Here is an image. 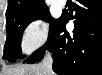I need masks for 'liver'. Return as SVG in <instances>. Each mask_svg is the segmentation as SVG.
I'll use <instances>...</instances> for the list:
<instances>
[{
  "instance_id": "1",
  "label": "liver",
  "mask_w": 102,
  "mask_h": 75,
  "mask_svg": "<svg viewBox=\"0 0 102 75\" xmlns=\"http://www.w3.org/2000/svg\"><path fill=\"white\" fill-rule=\"evenodd\" d=\"M1 75H53L49 74L46 67L40 64L19 65L3 69Z\"/></svg>"
}]
</instances>
